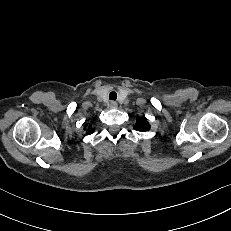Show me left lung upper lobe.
<instances>
[{"instance_id": "obj_1", "label": "left lung upper lobe", "mask_w": 231, "mask_h": 231, "mask_svg": "<svg viewBox=\"0 0 231 231\" xmlns=\"http://www.w3.org/2000/svg\"><path fill=\"white\" fill-rule=\"evenodd\" d=\"M134 129L144 132L150 129V125L145 117H137V122L134 125Z\"/></svg>"}]
</instances>
